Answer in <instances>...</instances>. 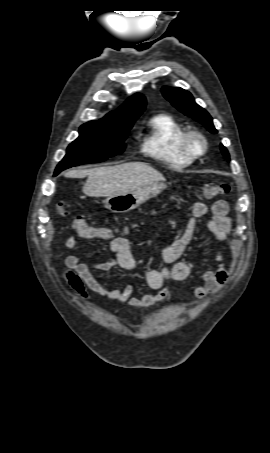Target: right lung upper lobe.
I'll list each match as a JSON object with an SVG mask.
<instances>
[{"instance_id": "right-lung-upper-lobe-1", "label": "right lung upper lobe", "mask_w": 270, "mask_h": 453, "mask_svg": "<svg viewBox=\"0 0 270 453\" xmlns=\"http://www.w3.org/2000/svg\"><path fill=\"white\" fill-rule=\"evenodd\" d=\"M146 105L142 94H135L128 98L116 111L107 114L100 121H92L116 128H125L133 125L134 121L142 114Z\"/></svg>"}]
</instances>
